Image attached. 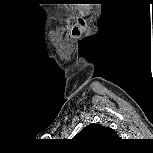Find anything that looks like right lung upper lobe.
I'll use <instances>...</instances> for the list:
<instances>
[{
	"instance_id": "cb5924a9",
	"label": "right lung upper lobe",
	"mask_w": 153,
	"mask_h": 153,
	"mask_svg": "<svg viewBox=\"0 0 153 153\" xmlns=\"http://www.w3.org/2000/svg\"><path fill=\"white\" fill-rule=\"evenodd\" d=\"M73 139L81 144H95L119 139V136L112 128L90 124L75 135Z\"/></svg>"
}]
</instances>
